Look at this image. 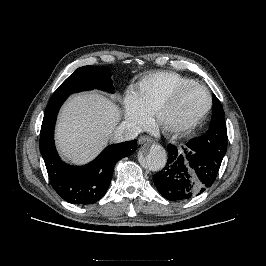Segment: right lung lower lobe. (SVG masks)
<instances>
[{"label": "right lung lower lobe", "mask_w": 266, "mask_h": 266, "mask_svg": "<svg viewBox=\"0 0 266 266\" xmlns=\"http://www.w3.org/2000/svg\"><path fill=\"white\" fill-rule=\"evenodd\" d=\"M69 94H53L43 118L40 132V152L44 159L50 183L65 201L86 205L100 200L108 190L116 162L137 149V141L110 145L85 166H70L57 154L54 145V127L59 108Z\"/></svg>", "instance_id": "right-lung-lower-lobe-1"}]
</instances>
